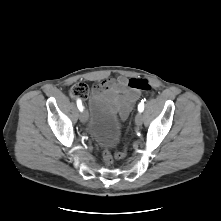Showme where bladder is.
I'll return each mask as SVG.
<instances>
[{"instance_id": "31cf9c89", "label": "bladder", "mask_w": 221, "mask_h": 221, "mask_svg": "<svg viewBox=\"0 0 221 221\" xmlns=\"http://www.w3.org/2000/svg\"><path fill=\"white\" fill-rule=\"evenodd\" d=\"M88 130L103 147L110 148L119 143L121 119L105 99L95 97L91 100Z\"/></svg>"}]
</instances>
